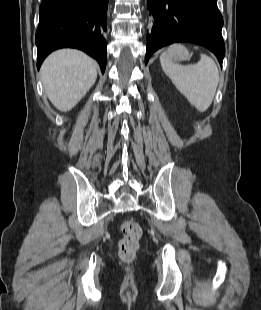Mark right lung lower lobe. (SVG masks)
<instances>
[{
  "mask_svg": "<svg viewBox=\"0 0 261 310\" xmlns=\"http://www.w3.org/2000/svg\"><path fill=\"white\" fill-rule=\"evenodd\" d=\"M108 0H42L36 32L37 68L52 51L71 47L95 58L105 71Z\"/></svg>",
  "mask_w": 261,
  "mask_h": 310,
  "instance_id": "98d812e1",
  "label": "right lung lower lobe"
}]
</instances>
